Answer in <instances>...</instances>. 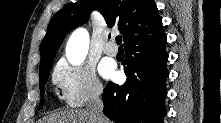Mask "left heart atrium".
Returning <instances> with one entry per match:
<instances>
[{"mask_svg":"<svg viewBox=\"0 0 221 123\" xmlns=\"http://www.w3.org/2000/svg\"><path fill=\"white\" fill-rule=\"evenodd\" d=\"M101 73L104 77H107V78H111L114 76L113 69L109 65L102 66Z\"/></svg>","mask_w":221,"mask_h":123,"instance_id":"1","label":"left heart atrium"}]
</instances>
